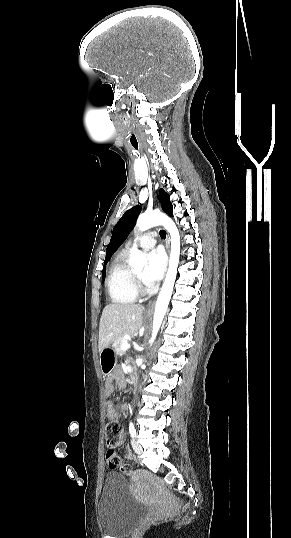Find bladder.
<instances>
[{
  "label": "bladder",
  "instance_id": "obj_1",
  "mask_svg": "<svg viewBox=\"0 0 291 538\" xmlns=\"http://www.w3.org/2000/svg\"><path fill=\"white\" fill-rule=\"evenodd\" d=\"M147 508L130 494L123 476L111 473L107 476L98 502V521L101 530L111 538L128 535L144 517Z\"/></svg>",
  "mask_w": 291,
  "mask_h": 538
}]
</instances>
